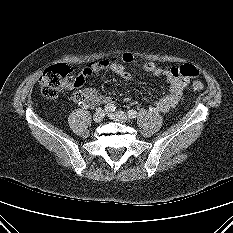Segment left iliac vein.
<instances>
[{"instance_id":"4c4485c4","label":"left iliac vein","mask_w":233,"mask_h":233,"mask_svg":"<svg viewBox=\"0 0 233 233\" xmlns=\"http://www.w3.org/2000/svg\"><path fill=\"white\" fill-rule=\"evenodd\" d=\"M109 117L112 120L120 122V123H127L128 120H129L127 114L125 112H123V111H118V112H115V113H111V114H109Z\"/></svg>"}]
</instances>
